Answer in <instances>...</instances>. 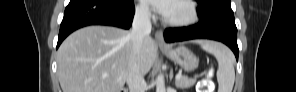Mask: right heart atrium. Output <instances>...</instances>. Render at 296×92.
<instances>
[{
  "label": "right heart atrium",
  "mask_w": 296,
  "mask_h": 92,
  "mask_svg": "<svg viewBox=\"0 0 296 92\" xmlns=\"http://www.w3.org/2000/svg\"><path fill=\"white\" fill-rule=\"evenodd\" d=\"M137 14L144 19L150 18L151 17V11L150 9L144 5L140 4L137 6Z\"/></svg>",
  "instance_id": "d8ad5b80"
}]
</instances>
